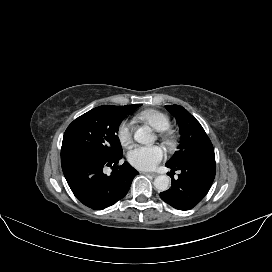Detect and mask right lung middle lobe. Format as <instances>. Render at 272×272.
<instances>
[{
    "mask_svg": "<svg viewBox=\"0 0 272 272\" xmlns=\"http://www.w3.org/2000/svg\"><path fill=\"white\" fill-rule=\"evenodd\" d=\"M141 106L96 107L75 119L66 129L63 149H85L105 158L122 156V147L117 136L122 120L134 109Z\"/></svg>",
    "mask_w": 272,
    "mask_h": 272,
    "instance_id": "obj_1",
    "label": "right lung middle lobe"
}]
</instances>
